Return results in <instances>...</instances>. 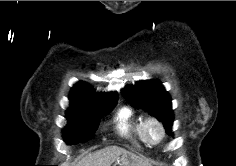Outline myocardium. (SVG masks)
<instances>
[{
  "label": "myocardium",
  "instance_id": "myocardium-1",
  "mask_svg": "<svg viewBox=\"0 0 236 166\" xmlns=\"http://www.w3.org/2000/svg\"><path fill=\"white\" fill-rule=\"evenodd\" d=\"M150 125H154L157 127L159 131V135L157 139L153 140L150 138L148 133V128ZM141 131H142V137L144 141L149 145H157L159 144L165 137V128L163 123L156 117L148 116L143 119L142 125H141Z\"/></svg>",
  "mask_w": 236,
  "mask_h": 166
}]
</instances>
